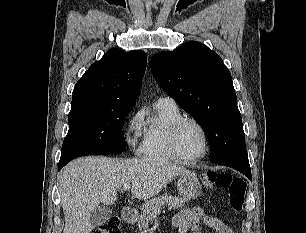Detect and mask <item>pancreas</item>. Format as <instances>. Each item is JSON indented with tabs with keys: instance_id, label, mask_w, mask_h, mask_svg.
<instances>
[{
	"instance_id": "cf45deb5",
	"label": "pancreas",
	"mask_w": 306,
	"mask_h": 233,
	"mask_svg": "<svg viewBox=\"0 0 306 233\" xmlns=\"http://www.w3.org/2000/svg\"><path fill=\"white\" fill-rule=\"evenodd\" d=\"M186 202L183 198L169 194L160 195L146 201L140 208L141 216L138 220L139 229H147L151 220L158 215L164 206H169L171 209H178L182 208Z\"/></svg>"
}]
</instances>
